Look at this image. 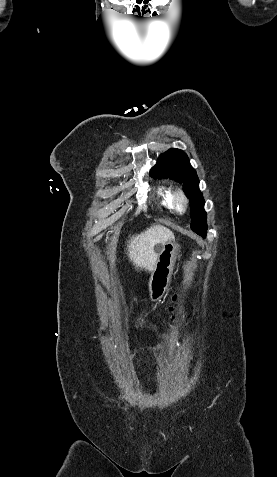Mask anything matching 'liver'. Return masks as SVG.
Segmentation results:
<instances>
[{
    "mask_svg": "<svg viewBox=\"0 0 277 477\" xmlns=\"http://www.w3.org/2000/svg\"><path fill=\"white\" fill-rule=\"evenodd\" d=\"M172 239L174 234L171 230L162 225H153L130 238L127 244L128 256L134 265L153 271L160 252H155V246Z\"/></svg>",
    "mask_w": 277,
    "mask_h": 477,
    "instance_id": "liver-1",
    "label": "liver"
}]
</instances>
